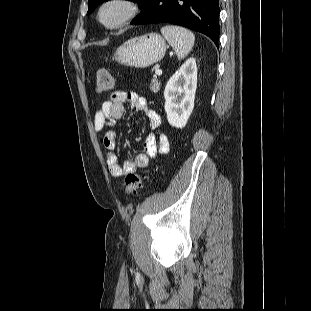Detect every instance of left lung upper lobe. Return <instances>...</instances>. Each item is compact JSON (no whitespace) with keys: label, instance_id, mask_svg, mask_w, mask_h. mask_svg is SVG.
<instances>
[{"label":"left lung upper lobe","instance_id":"obj_1","mask_svg":"<svg viewBox=\"0 0 311 311\" xmlns=\"http://www.w3.org/2000/svg\"><path fill=\"white\" fill-rule=\"evenodd\" d=\"M105 1H108V0H89L87 13L88 14L91 13L96 8L97 5ZM131 1L138 3L141 8L146 0H131Z\"/></svg>","mask_w":311,"mask_h":311}]
</instances>
